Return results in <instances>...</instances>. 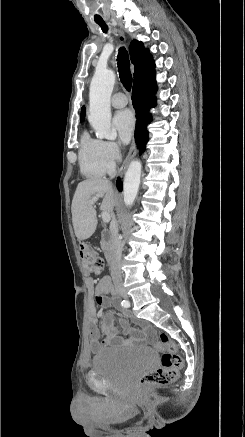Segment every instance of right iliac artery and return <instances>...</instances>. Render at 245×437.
Wrapping results in <instances>:
<instances>
[{
	"label": "right iliac artery",
	"mask_w": 245,
	"mask_h": 437,
	"mask_svg": "<svg viewBox=\"0 0 245 437\" xmlns=\"http://www.w3.org/2000/svg\"><path fill=\"white\" fill-rule=\"evenodd\" d=\"M121 305H122L123 307H125V308H128V307L130 306V303H129V301H127V300H123V301L121 302Z\"/></svg>",
	"instance_id": "82829eb1"
}]
</instances>
